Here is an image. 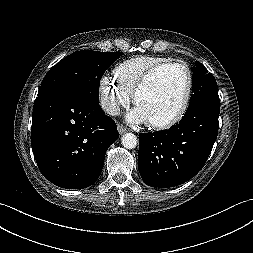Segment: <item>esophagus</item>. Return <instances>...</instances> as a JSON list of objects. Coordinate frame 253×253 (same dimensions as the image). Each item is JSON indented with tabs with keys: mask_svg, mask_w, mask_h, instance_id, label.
<instances>
[{
	"mask_svg": "<svg viewBox=\"0 0 253 253\" xmlns=\"http://www.w3.org/2000/svg\"><path fill=\"white\" fill-rule=\"evenodd\" d=\"M117 129L119 134H124L128 131V129L126 127H124L122 124H117Z\"/></svg>",
	"mask_w": 253,
	"mask_h": 253,
	"instance_id": "esophagus-1",
	"label": "esophagus"
}]
</instances>
